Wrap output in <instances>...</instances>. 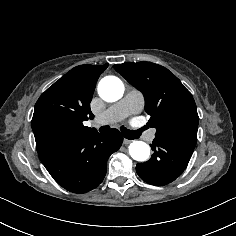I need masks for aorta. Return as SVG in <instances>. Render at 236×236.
Masks as SVG:
<instances>
[{"label":"aorta","instance_id":"aorta-1","mask_svg":"<svg viewBox=\"0 0 236 236\" xmlns=\"http://www.w3.org/2000/svg\"><path fill=\"white\" fill-rule=\"evenodd\" d=\"M123 93L124 85L118 77H104L98 84V94L104 101L115 102ZM129 154L134 160L143 162L150 156V147L145 142L134 141L129 145Z\"/></svg>","mask_w":236,"mask_h":236}]
</instances>
